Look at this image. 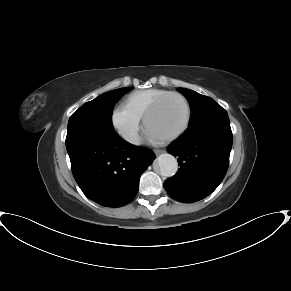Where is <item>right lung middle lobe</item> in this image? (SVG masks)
Returning <instances> with one entry per match:
<instances>
[{"label": "right lung middle lobe", "instance_id": "obj_1", "mask_svg": "<svg viewBox=\"0 0 291 291\" xmlns=\"http://www.w3.org/2000/svg\"><path fill=\"white\" fill-rule=\"evenodd\" d=\"M132 87L121 88L104 93L94 100L83 104L68 121V128L94 127L114 130L112 112L118 100Z\"/></svg>", "mask_w": 291, "mask_h": 291}]
</instances>
